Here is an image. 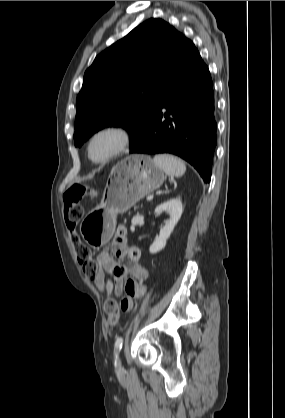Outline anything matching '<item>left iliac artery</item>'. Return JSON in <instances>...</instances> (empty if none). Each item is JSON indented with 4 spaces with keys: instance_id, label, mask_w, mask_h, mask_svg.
<instances>
[{
    "instance_id": "obj_1",
    "label": "left iliac artery",
    "mask_w": 285,
    "mask_h": 418,
    "mask_svg": "<svg viewBox=\"0 0 285 418\" xmlns=\"http://www.w3.org/2000/svg\"><path fill=\"white\" fill-rule=\"evenodd\" d=\"M123 345V338L122 337H118L115 341V352H119L122 348Z\"/></svg>"
}]
</instances>
